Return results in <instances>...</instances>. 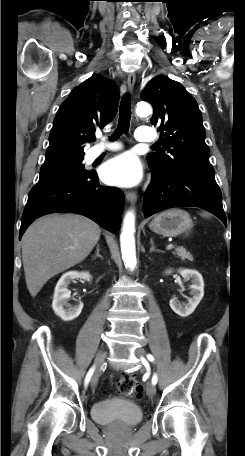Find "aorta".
<instances>
[{"label": "aorta", "mask_w": 245, "mask_h": 456, "mask_svg": "<svg viewBox=\"0 0 245 456\" xmlns=\"http://www.w3.org/2000/svg\"><path fill=\"white\" fill-rule=\"evenodd\" d=\"M152 113L150 104L140 102L136 107V114L141 117L148 116ZM135 214L133 211H128L123 221V228L120 235V245L122 259L125 266L134 269L136 267V247H135Z\"/></svg>", "instance_id": "aorta-1"}]
</instances>
